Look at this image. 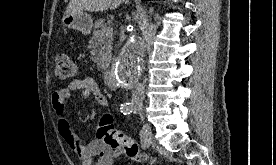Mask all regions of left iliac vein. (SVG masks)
I'll use <instances>...</instances> for the list:
<instances>
[{
    "label": "left iliac vein",
    "mask_w": 276,
    "mask_h": 165,
    "mask_svg": "<svg viewBox=\"0 0 276 165\" xmlns=\"http://www.w3.org/2000/svg\"><path fill=\"white\" fill-rule=\"evenodd\" d=\"M134 113L141 115L142 114V107H140V106L136 107L135 110H134Z\"/></svg>",
    "instance_id": "obj_1"
}]
</instances>
